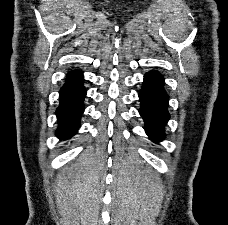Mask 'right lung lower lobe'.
Segmentation results:
<instances>
[{"mask_svg": "<svg viewBox=\"0 0 228 225\" xmlns=\"http://www.w3.org/2000/svg\"><path fill=\"white\" fill-rule=\"evenodd\" d=\"M86 90L81 72H71L60 90V104L56 110L58 128L56 135L63 140L72 137L80 127V117L84 111L83 100Z\"/></svg>", "mask_w": 228, "mask_h": 225, "instance_id": "1", "label": "right lung lower lobe"}]
</instances>
